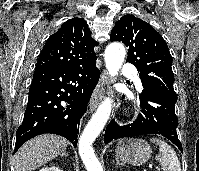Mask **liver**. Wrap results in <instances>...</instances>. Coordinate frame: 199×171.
<instances>
[{
  "label": "liver",
  "instance_id": "liver-1",
  "mask_svg": "<svg viewBox=\"0 0 199 171\" xmlns=\"http://www.w3.org/2000/svg\"><path fill=\"white\" fill-rule=\"evenodd\" d=\"M68 145V141L55 134L36 136L17 151L14 159L15 171H34L56 158Z\"/></svg>",
  "mask_w": 199,
  "mask_h": 171
}]
</instances>
